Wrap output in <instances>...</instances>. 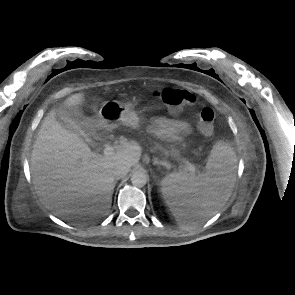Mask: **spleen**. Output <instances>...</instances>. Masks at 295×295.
<instances>
[{
    "mask_svg": "<svg viewBox=\"0 0 295 295\" xmlns=\"http://www.w3.org/2000/svg\"><path fill=\"white\" fill-rule=\"evenodd\" d=\"M236 154L226 142L213 146L198 176L171 173L161 181L164 200L183 228L216 212L231 195L236 179Z\"/></svg>",
    "mask_w": 295,
    "mask_h": 295,
    "instance_id": "spleen-1",
    "label": "spleen"
}]
</instances>
